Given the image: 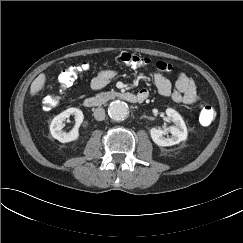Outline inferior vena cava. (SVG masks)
<instances>
[{"mask_svg": "<svg viewBox=\"0 0 243 243\" xmlns=\"http://www.w3.org/2000/svg\"><path fill=\"white\" fill-rule=\"evenodd\" d=\"M94 118L98 121L105 119V110L102 107H98L94 110Z\"/></svg>", "mask_w": 243, "mask_h": 243, "instance_id": "obj_1", "label": "inferior vena cava"}]
</instances>
